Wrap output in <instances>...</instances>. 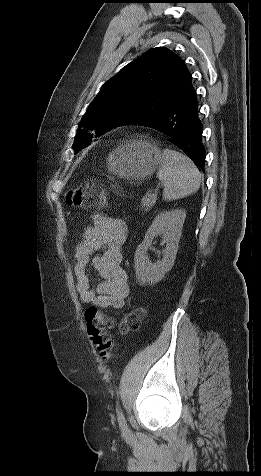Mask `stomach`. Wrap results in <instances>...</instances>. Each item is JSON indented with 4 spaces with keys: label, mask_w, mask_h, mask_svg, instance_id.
I'll return each instance as SVG.
<instances>
[{
    "label": "stomach",
    "mask_w": 261,
    "mask_h": 476,
    "mask_svg": "<svg viewBox=\"0 0 261 476\" xmlns=\"http://www.w3.org/2000/svg\"><path fill=\"white\" fill-rule=\"evenodd\" d=\"M162 152L144 140H130L113 149L107 158L108 171L126 179H144L162 162Z\"/></svg>",
    "instance_id": "obj_1"
}]
</instances>
